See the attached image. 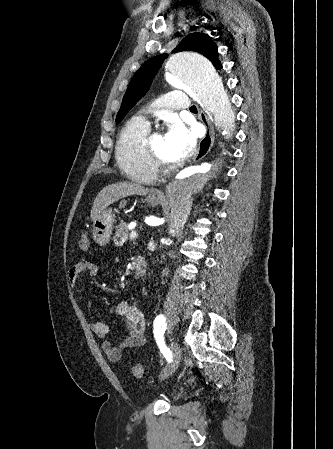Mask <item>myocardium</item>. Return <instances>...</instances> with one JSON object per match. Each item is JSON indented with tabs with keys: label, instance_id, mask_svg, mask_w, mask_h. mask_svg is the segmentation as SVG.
<instances>
[{
	"label": "myocardium",
	"instance_id": "obj_1",
	"mask_svg": "<svg viewBox=\"0 0 333 449\" xmlns=\"http://www.w3.org/2000/svg\"><path fill=\"white\" fill-rule=\"evenodd\" d=\"M158 134H160L158 131L153 133L149 132L144 142V148L152 167L155 169L157 174H160L170 170L172 164L160 158L152 147L151 141L153 137Z\"/></svg>",
	"mask_w": 333,
	"mask_h": 449
}]
</instances>
